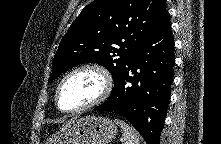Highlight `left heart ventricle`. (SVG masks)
<instances>
[{"label":"left heart ventricle","instance_id":"obj_1","mask_svg":"<svg viewBox=\"0 0 221 144\" xmlns=\"http://www.w3.org/2000/svg\"><path fill=\"white\" fill-rule=\"evenodd\" d=\"M103 81L94 71H80L71 76L63 85L60 104L65 109H73L93 101L100 93Z\"/></svg>","mask_w":221,"mask_h":144}]
</instances>
